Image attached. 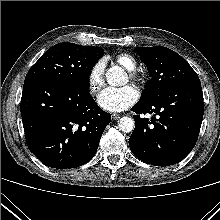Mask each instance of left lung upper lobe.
I'll use <instances>...</instances> for the list:
<instances>
[{
	"instance_id": "obj_1",
	"label": "left lung upper lobe",
	"mask_w": 220,
	"mask_h": 220,
	"mask_svg": "<svg viewBox=\"0 0 220 220\" xmlns=\"http://www.w3.org/2000/svg\"><path fill=\"white\" fill-rule=\"evenodd\" d=\"M151 79L139 103H147L188 82L200 81L189 63L179 54L162 46L136 47Z\"/></svg>"
}]
</instances>
